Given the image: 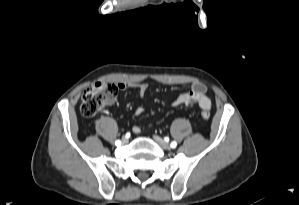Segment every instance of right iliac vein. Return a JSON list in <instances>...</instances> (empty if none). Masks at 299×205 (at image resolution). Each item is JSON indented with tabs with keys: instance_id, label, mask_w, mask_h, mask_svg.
I'll list each match as a JSON object with an SVG mask.
<instances>
[{
	"instance_id": "63e3f726",
	"label": "right iliac vein",
	"mask_w": 299,
	"mask_h": 205,
	"mask_svg": "<svg viewBox=\"0 0 299 205\" xmlns=\"http://www.w3.org/2000/svg\"><path fill=\"white\" fill-rule=\"evenodd\" d=\"M122 142H123V143H127V142H128V139H127V138H123V139H122Z\"/></svg>"
}]
</instances>
